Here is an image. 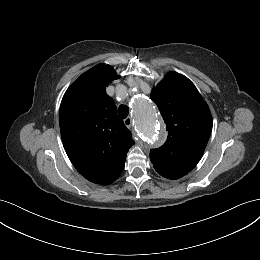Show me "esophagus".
<instances>
[{
    "mask_svg": "<svg viewBox=\"0 0 260 260\" xmlns=\"http://www.w3.org/2000/svg\"><path fill=\"white\" fill-rule=\"evenodd\" d=\"M124 124L126 125L127 128H131L132 127V118L127 117L126 119H124Z\"/></svg>",
    "mask_w": 260,
    "mask_h": 260,
    "instance_id": "esophagus-1",
    "label": "esophagus"
}]
</instances>
